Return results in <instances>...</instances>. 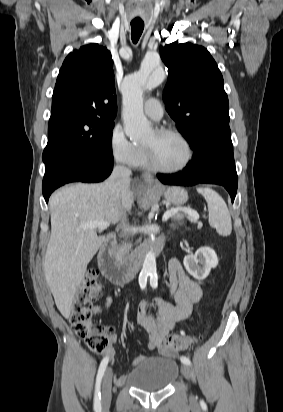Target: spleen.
Instances as JSON below:
<instances>
[{
	"mask_svg": "<svg viewBox=\"0 0 283 412\" xmlns=\"http://www.w3.org/2000/svg\"><path fill=\"white\" fill-rule=\"evenodd\" d=\"M208 204L209 224L221 236H229L232 231L231 216L223 198L210 188H198Z\"/></svg>",
	"mask_w": 283,
	"mask_h": 412,
	"instance_id": "obj_1",
	"label": "spleen"
}]
</instances>
